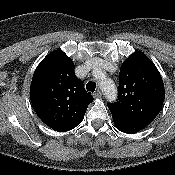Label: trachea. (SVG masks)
I'll list each match as a JSON object with an SVG mask.
<instances>
[{
	"label": "trachea",
	"instance_id": "3493384b",
	"mask_svg": "<svg viewBox=\"0 0 175 175\" xmlns=\"http://www.w3.org/2000/svg\"><path fill=\"white\" fill-rule=\"evenodd\" d=\"M86 89H87V91L94 92L95 89H96V83L93 82V81H89V82L86 84Z\"/></svg>",
	"mask_w": 175,
	"mask_h": 175
}]
</instances>
